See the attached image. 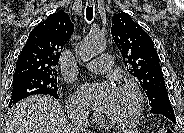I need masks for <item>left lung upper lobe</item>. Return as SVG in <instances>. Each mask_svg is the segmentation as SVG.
I'll use <instances>...</instances> for the list:
<instances>
[{
	"label": "left lung upper lobe",
	"mask_w": 184,
	"mask_h": 133,
	"mask_svg": "<svg viewBox=\"0 0 184 133\" xmlns=\"http://www.w3.org/2000/svg\"><path fill=\"white\" fill-rule=\"evenodd\" d=\"M111 34L127 71L141 84L150 106L170 103L159 56L151 37L124 12L114 14Z\"/></svg>",
	"instance_id": "5c2ea615"
}]
</instances>
